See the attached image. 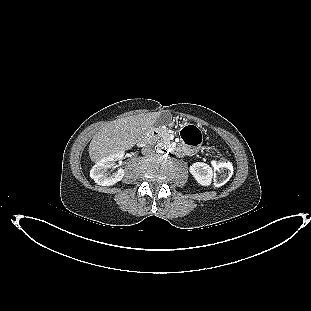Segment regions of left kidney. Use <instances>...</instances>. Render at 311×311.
Returning <instances> with one entry per match:
<instances>
[{
  "instance_id": "left-kidney-1",
  "label": "left kidney",
  "mask_w": 311,
  "mask_h": 311,
  "mask_svg": "<svg viewBox=\"0 0 311 311\" xmlns=\"http://www.w3.org/2000/svg\"><path fill=\"white\" fill-rule=\"evenodd\" d=\"M190 173L195 180L202 186H209L212 181V168L204 162L193 163L190 168Z\"/></svg>"
}]
</instances>
